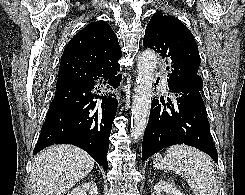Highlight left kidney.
<instances>
[{"label": "left kidney", "instance_id": "left-kidney-1", "mask_svg": "<svg viewBox=\"0 0 245 195\" xmlns=\"http://www.w3.org/2000/svg\"><path fill=\"white\" fill-rule=\"evenodd\" d=\"M182 195V193L172 184L164 180H160L154 185V190L152 195Z\"/></svg>", "mask_w": 245, "mask_h": 195}]
</instances>
